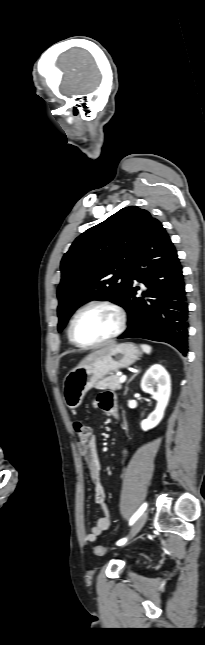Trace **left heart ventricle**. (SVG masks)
<instances>
[{"label": "left heart ventricle", "instance_id": "left-heart-ventricle-1", "mask_svg": "<svg viewBox=\"0 0 205 645\" xmlns=\"http://www.w3.org/2000/svg\"><path fill=\"white\" fill-rule=\"evenodd\" d=\"M116 325L117 317L113 311L104 307H91L78 316L74 329L80 341L92 343L109 336Z\"/></svg>", "mask_w": 205, "mask_h": 645}]
</instances>
